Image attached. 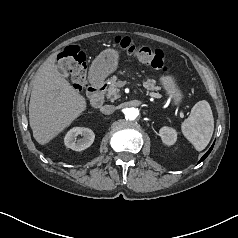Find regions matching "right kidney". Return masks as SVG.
<instances>
[{
  "mask_svg": "<svg viewBox=\"0 0 238 238\" xmlns=\"http://www.w3.org/2000/svg\"><path fill=\"white\" fill-rule=\"evenodd\" d=\"M79 135L82 137L78 138ZM94 139L95 134L91 129L74 127L66 133L64 143L66 147L74 151H82L90 147L94 142Z\"/></svg>",
  "mask_w": 238,
  "mask_h": 238,
  "instance_id": "1",
  "label": "right kidney"
}]
</instances>
